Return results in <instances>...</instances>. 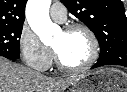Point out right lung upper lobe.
<instances>
[{
    "label": "right lung upper lobe",
    "mask_w": 127,
    "mask_h": 92,
    "mask_svg": "<svg viewBox=\"0 0 127 92\" xmlns=\"http://www.w3.org/2000/svg\"><path fill=\"white\" fill-rule=\"evenodd\" d=\"M27 0H0V25H22Z\"/></svg>",
    "instance_id": "right-lung-upper-lobe-1"
}]
</instances>
